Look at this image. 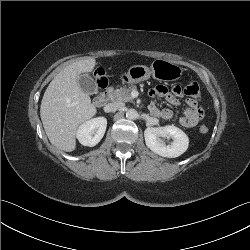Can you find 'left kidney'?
Masks as SVG:
<instances>
[{"label": "left kidney", "mask_w": 250, "mask_h": 250, "mask_svg": "<svg viewBox=\"0 0 250 250\" xmlns=\"http://www.w3.org/2000/svg\"><path fill=\"white\" fill-rule=\"evenodd\" d=\"M146 146L154 153L168 158H175L186 152L189 146L187 135L174 125L159 128H146L144 131ZM161 137L172 138L173 142L166 145Z\"/></svg>", "instance_id": "5707ae66"}]
</instances>
